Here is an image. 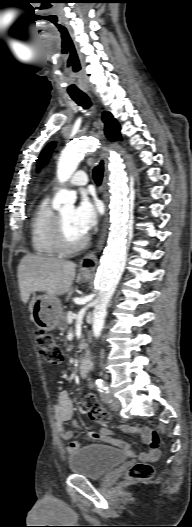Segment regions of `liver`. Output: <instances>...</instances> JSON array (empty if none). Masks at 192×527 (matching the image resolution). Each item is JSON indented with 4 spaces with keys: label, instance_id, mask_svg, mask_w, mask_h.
Here are the masks:
<instances>
[{
    "label": "liver",
    "instance_id": "1",
    "mask_svg": "<svg viewBox=\"0 0 192 527\" xmlns=\"http://www.w3.org/2000/svg\"><path fill=\"white\" fill-rule=\"evenodd\" d=\"M76 265L72 261L28 254L18 266V282L21 299L27 303L32 293L45 292L49 296L73 294L72 283Z\"/></svg>",
    "mask_w": 192,
    "mask_h": 527
}]
</instances>
